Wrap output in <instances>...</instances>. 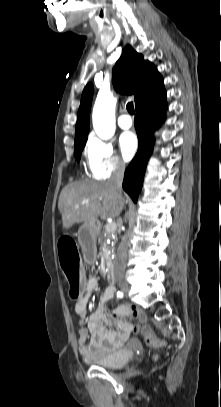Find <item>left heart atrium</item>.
Returning <instances> with one entry per match:
<instances>
[{
    "instance_id": "obj_1",
    "label": "left heart atrium",
    "mask_w": 221,
    "mask_h": 407,
    "mask_svg": "<svg viewBox=\"0 0 221 407\" xmlns=\"http://www.w3.org/2000/svg\"><path fill=\"white\" fill-rule=\"evenodd\" d=\"M119 145L124 159L129 160L137 150L138 142L134 133L125 132L120 136Z\"/></svg>"
}]
</instances>
